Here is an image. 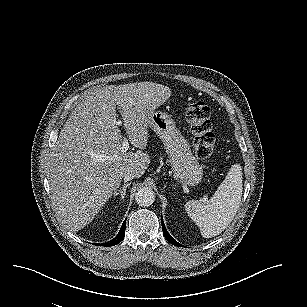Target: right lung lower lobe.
<instances>
[{
	"instance_id": "98d812e1",
	"label": "right lung lower lobe",
	"mask_w": 307,
	"mask_h": 307,
	"mask_svg": "<svg viewBox=\"0 0 307 307\" xmlns=\"http://www.w3.org/2000/svg\"><path fill=\"white\" fill-rule=\"evenodd\" d=\"M125 221L122 224V227H121L118 235L113 240L109 241L108 243H102V244H96V245H99V246H114V245L120 243L124 239V236H125V228H126Z\"/></svg>"
}]
</instances>
